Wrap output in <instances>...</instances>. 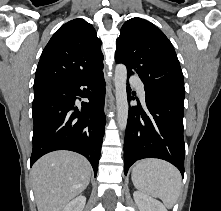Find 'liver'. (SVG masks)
Returning a JSON list of instances; mask_svg holds the SVG:
<instances>
[{
	"label": "liver",
	"mask_w": 221,
	"mask_h": 211,
	"mask_svg": "<svg viewBox=\"0 0 221 211\" xmlns=\"http://www.w3.org/2000/svg\"><path fill=\"white\" fill-rule=\"evenodd\" d=\"M91 165L83 156L55 151L41 157L31 177L38 211H62L90 182Z\"/></svg>",
	"instance_id": "liver-1"
}]
</instances>
